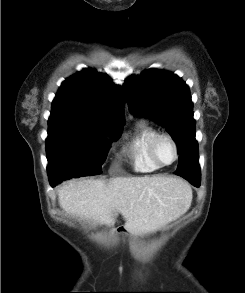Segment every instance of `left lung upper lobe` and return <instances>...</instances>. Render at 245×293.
<instances>
[{
    "mask_svg": "<svg viewBox=\"0 0 245 293\" xmlns=\"http://www.w3.org/2000/svg\"><path fill=\"white\" fill-rule=\"evenodd\" d=\"M123 90L133 114L150 116L178 144L176 171L200 175L193 103L186 83L173 73L151 69L127 78Z\"/></svg>",
    "mask_w": 245,
    "mask_h": 293,
    "instance_id": "obj_1",
    "label": "left lung upper lobe"
}]
</instances>
